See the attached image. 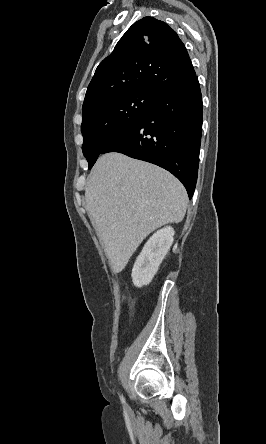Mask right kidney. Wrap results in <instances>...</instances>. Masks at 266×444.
Wrapping results in <instances>:
<instances>
[{
	"label": "right kidney",
	"mask_w": 266,
	"mask_h": 444,
	"mask_svg": "<svg viewBox=\"0 0 266 444\" xmlns=\"http://www.w3.org/2000/svg\"><path fill=\"white\" fill-rule=\"evenodd\" d=\"M174 229L165 227L158 230L144 245L132 269V281L136 287L148 285L174 241Z\"/></svg>",
	"instance_id": "obj_1"
}]
</instances>
